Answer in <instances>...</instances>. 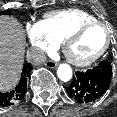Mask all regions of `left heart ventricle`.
Returning <instances> with one entry per match:
<instances>
[{"label":"left heart ventricle","mask_w":117,"mask_h":117,"mask_svg":"<svg viewBox=\"0 0 117 117\" xmlns=\"http://www.w3.org/2000/svg\"><path fill=\"white\" fill-rule=\"evenodd\" d=\"M107 31L94 26L84 31L70 46V54L77 59H86L97 53L105 44Z\"/></svg>","instance_id":"b2bd125f"}]
</instances>
